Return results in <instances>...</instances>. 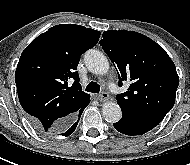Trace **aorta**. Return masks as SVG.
<instances>
[{"label":"aorta","instance_id":"762f6f07","mask_svg":"<svg viewBox=\"0 0 190 165\" xmlns=\"http://www.w3.org/2000/svg\"><path fill=\"white\" fill-rule=\"evenodd\" d=\"M85 64L90 72L96 75L106 74L109 70L107 57L100 51L90 50L84 57ZM102 114L106 121L115 123L122 117L120 106L116 102H106L102 106Z\"/></svg>","mask_w":190,"mask_h":165}]
</instances>
